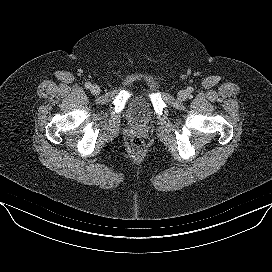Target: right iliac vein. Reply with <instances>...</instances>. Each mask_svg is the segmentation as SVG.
<instances>
[{
	"instance_id": "obj_1",
	"label": "right iliac vein",
	"mask_w": 272,
	"mask_h": 272,
	"mask_svg": "<svg viewBox=\"0 0 272 272\" xmlns=\"http://www.w3.org/2000/svg\"><path fill=\"white\" fill-rule=\"evenodd\" d=\"M90 91L93 95H98L100 93V87L98 85H92Z\"/></svg>"
}]
</instances>
